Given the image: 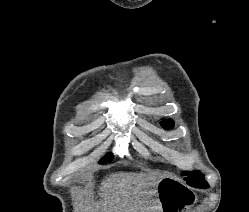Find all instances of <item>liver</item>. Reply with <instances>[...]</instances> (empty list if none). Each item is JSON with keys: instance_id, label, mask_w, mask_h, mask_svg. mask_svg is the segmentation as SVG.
<instances>
[{"instance_id": "liver-1", "label": "liver", "mask_w": 249, "mask_h": 212, "mask_svg": "<svg viewBox=\"0 0 249 212\" xmlns=\"http://www.w3.org/2000/svg\"><path fill=\"white\" fill-rule=\"evenodd\" d=\"M124 174H118V176H113V178H109V180H106L105 186H103L102 190L105 192V196H108V190L112 188V190H118L119 188H126L127 184H134V182H137L136 180V174L135 176H125L123 178ZM106 204H112L111 198L108 196V202Z\"/></svg>"}]
</instances>
